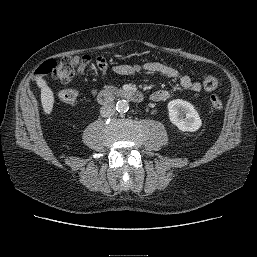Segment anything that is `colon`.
<instances>
[{"instance_id":"1","label":"colon","mask_w":257,"mask_h":257,"mask_svg":"<svg viewBox=\"0 0 257 257\" xmlns=\"http://www.w3.org/2000/svg\"><path fill=\"white\" fill-rule=\"evenodd\" d=\"M90 60L88 56L77 57L67 56L59 60H47L42 63L37 74L52 75L55 79L62 83H68L72 80L77 72H83ZM203 86L207 91H213L218 87V80L211 75L204 77ZM78 98V92L74 89H65L59 93V99L66 104H73ZM209 105L212 110L219 111L223 107V102L218 95H211Z\"/></svg>"}]
</instances>
